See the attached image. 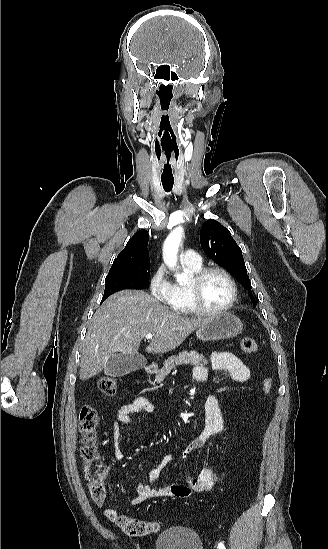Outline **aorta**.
Listing matches in <instances>:
<instances>
[{
  "label": "aorta",
  "mask_w": 328,
  "mask_h": 549,
  "mask_svg": "<svg viewBox=\"0 0 328 549\" xmlns=\"http://www.w3.org/2000/svg\"><path fill=\"white\" fill-rule=\"evenodd\" d=\"M183 229L182 227H177L176 229L171 232V234L168 236V238L165 241L164 245V255L166 258V262L170 265H174L177 261V253L179 244L182 238ZM183 274H179L177 276L178 281H182L184 279Z\"/></svg>",
  "instance_id": "obj_1"
}]
</instances>
